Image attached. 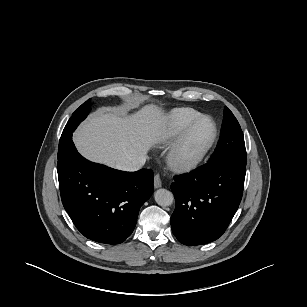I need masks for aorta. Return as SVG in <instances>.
Returning <instances> with one entry per match:
<instances>
[{"mask_svg": "<svg viewBox=\"0 0 307 307\" xmlns=\"http://www.w3.org/2000/svg\"><path fill=\"white\" fill-rule=\"evenodd\" d=\"M155 201L160 206H169L174 201L172 192L167 189H158L154 194Z\"/></svg>", "mask_w": 307, "mask_h": 307, "instance_id": "762f6f07", "label": "aorta"}]
</instances>
